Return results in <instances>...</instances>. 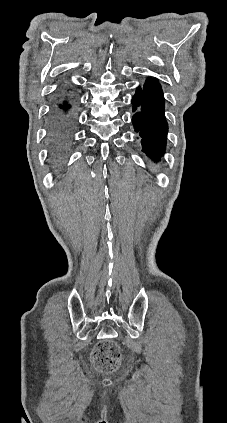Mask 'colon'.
I'll return each mask as SVG.
<instances>
[{
    "instance_id": "obj_1",
    "label": "colon",
    "mask_w": 227,
    "mask_h": 423,
    "mask_svg": "<svg viewBox=\"0 0 227 423\" xmlns=\"http://www.w3.org/2000/svg\"><path fill=\"white\" fill-rule=\"evenodd\" d=\"M121 358L119 346L111 340L99 342L92 353L93 363L100 369L113 371Z\"/></svg>"
}]
</instances>
